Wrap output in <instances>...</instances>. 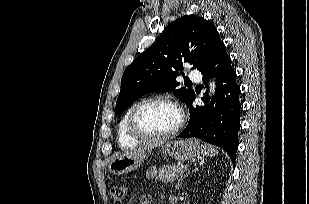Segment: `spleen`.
Returning a JSON list of instances; mask_svg holds the SVG:
<instances>
[{
  "mask_svg": "<svg viewBox=\"0 0 309 204\" xmlns=\"http://www.w3.org/2000/svg\"><path fill=\"white\" fill-rule=\"evenodd\" d=\"M218 153L215 147L210 145H203V154L208 157H213Z\"/></svg>",
  "mask_w": 309,
  "mask_h": 204,
  "instance_id": "spleen-1",
  "label": "spleen"
}]
</instances>
